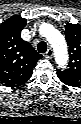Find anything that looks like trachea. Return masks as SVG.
Wrapping results in <instances>:
<instances>
[{"mask_svg":"<svg viewBox=\"0 0 81 124\" xmlns=\"http://www.w3.org/2000/svg\"><path fill=\"white\" fill-rule=\"evenodd\" d=\"M37 50L39 53H45L47 51V44L44 41L38 43Z\"/></svg>","mask_w":81,"mask_h":124,"instance_id":"obj_1","label":"trachea"}]
</instances>
